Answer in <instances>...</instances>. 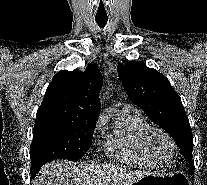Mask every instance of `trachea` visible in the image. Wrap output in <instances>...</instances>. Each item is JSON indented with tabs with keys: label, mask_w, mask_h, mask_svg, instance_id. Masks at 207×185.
I'll list each match as a JSON object with an SVG mask.
<instances>
[{
	"label": "trachea",
	"mask_w": 207,
	"mask_h": 185,
	"mask_svg": "<svg viewBox=\"0 0 207 185\" xmlns=\"http://www.w3.org/2000/svg\"><path fill=\"white\" fill-rule=\"evenodd\" d=\"M96 23L100 26V27H104L108 21L107 17H99V18H95Z\"/></svg>",
	"instance_id": "3493384b"
}]
</instances>
